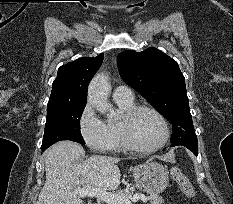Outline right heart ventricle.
I'll return each mask as SVG.
<instances>
[{"label": "right heart ventricle", "instance_id": "1", "mask_svg": "<svg viewBox=\"0 0 233 204\" xmlns=\"http://www.w3.org/2000/svg\"><path fill=\"white\" fill-rule=\"evenodd\" d=\"M116 105L119 107V109L122 112H125L126 110L130 109L134 106V100H128V101H122V100H115ZM108 130L111 134L112 138V149L113 150H121L126 148L124 146L121 133L119 130V126L117 122H109L107 123Z\"/></svg>", "mask_w": 233, "mask_h": 204}]
</instances>
